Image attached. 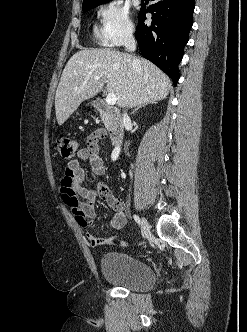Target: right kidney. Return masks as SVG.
<instances>
[{
    "label": "right kidney",
    "instance_id": "obj_1",
    "mask_svg": "<svg viewBox=\"0 0 247 332\" xmlns=\"http://www.w3.org/2000/svg\"><path fill=\"white\" fill-rule=\"evenodd\" d=\"M120 151H121V149L119 146L115 147V149L113 150V152L111 154V159L113 161L117 160V158L119 157Z\"/></svg>",
    "mask_w": 247,
    "mask_h": 332
}]
</instances>
